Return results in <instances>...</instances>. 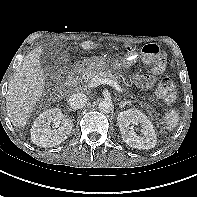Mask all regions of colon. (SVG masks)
<instances>
[{
	"label": "colon",
	"mask_w": 197,
	"mask_h": 197,
	"mask_svg": "<svg viewBox=\"0 0 197 197\" xmlns=\"http://www.w3.org/2000/svg\"><path fill=\"white\" fill-rule=\"evenodd\" d=\"M143 58L148 61L153 71L162 73L166 68V56L157 44L149 43L142 48ZM158 96L167 103H174L176 100V91L173 81L169 78H163L157 88Z\"/></svg>",
	"instance_id": "5ec220e1"
}]
</instances>
